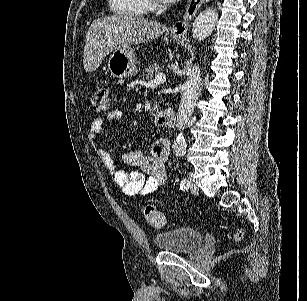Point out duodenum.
Here are the masks:
<instances>
[{"label": "duodenum", "mask_w": 307, "mask_h": 301, "mask_svg": "<svg viewBox=\"0 0 307 301\" xmlns=\"http://www.w3.org/2000/svg\"><path fill=\"white\" fill-rule=\"evenodd\" d=\"M156 123L161 127H174L176 124V115L170 108L164 109L156 116Z\"/></svg>", "instance_id": "1"}]
</instances>
